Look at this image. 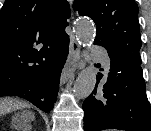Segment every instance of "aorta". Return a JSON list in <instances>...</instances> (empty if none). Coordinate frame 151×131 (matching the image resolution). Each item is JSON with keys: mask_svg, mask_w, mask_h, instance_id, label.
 <instances>
[{"mask_svg": "<svg viewBox=\"0 0 151 131\" xmlns=\"http://www.w3.org/2000/svg\"><path fill=\"white\" fill-rule=\"evenodd\" d=\"M75 33L81 44L89 45L95 37L94 24L90 19L81 17L75 24ZM96 75L94 66H89L81 71L73 88L74 96L77 99H85L92 93L96 85Z\"/></svg>", "mask_w": 151, "mask_h": 131, "instance_id": "obj_1", "label": "aorta"}]
</instances>
